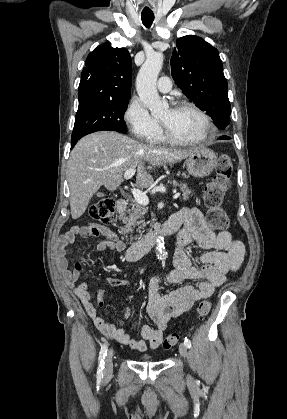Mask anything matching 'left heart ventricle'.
Returning <instances> with one entry per match:
<instances>
[{
    "label": "left heart ventricle",
    "instance_id": "left-heart-ventricle-1",
    "mask_svg": "<svg viewBox=\"0 0 287 419\" xmlns=\"http://www.w3.org/2000/svg\"><path fill=\"white\" fill-rule=\"evenodd\" d=\"M160 120L174 137L183 140H195L206 133L202 119L189 109H166Z\"/></svg>",
    "mask_w": 287,
    "mask_h": 419
}]
</instances>
